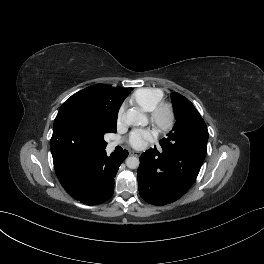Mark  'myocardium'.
I'll use <instances>...</instances> for the list:
<instances>
[{
	"instance_id": "myocardium-1",
	"label": "myocardium",
	"mask_w": 264,
	"mask_h": 264,
	"mask_svg": "<svg viewBox=\"0 0 264 264\" xmlns=\"http://www.w3.org/2000/svg\"><path fill=\"white\" fill-rule=\"evenodd\" d=\"M150 119L160 132H168L176 124L177 115L175 108L171 103L161 101L150 112Z\"/></svg>"
}]
</instances>
